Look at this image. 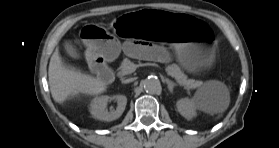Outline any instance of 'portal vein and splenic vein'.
Returning a JSON list of instances; mask_svg holds the SVG:
<instances>
[{"instance_id":"obj_1","label":"portal vein and splenic vein","mask_w":279,"mask_h":148,"mask_svg":"<svg viewBox=\"0 0 279 148\" xmlns=\"http://www.w3.org/2000/svg\"><path fill=\"white\" fill-rule=\"evenodd\" d=\"M136 68H137V65H133L131 70L134 72L136 70ZM178 83L183 85V86H185V87H187V88H191V89H195V88L200 86L199 83H190V82H187V81H185V82H178Z\"/></svg>"}]
</instances>
